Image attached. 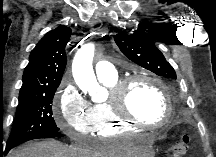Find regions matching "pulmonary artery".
<instances>
[{
  "label": "pulmonary artery",
  "instance_id": "e3ab8cb5",
  "mask_svg": "<svg viewBox=\"0 0 216 157\" xmlns=\"http://www.w3.org/2000/svg\"><path fill=\"white\" fill-rule=\"evenodd\" d=\"M95 72L97 78L102 81L106 79H110L117 75V70L115 66L108 61L101 60L95 65Z\"/></svg>",
  "mask_w": 216,
  "mask_h": 157
}]
</instances>
